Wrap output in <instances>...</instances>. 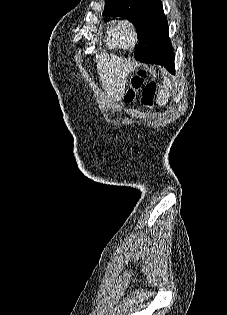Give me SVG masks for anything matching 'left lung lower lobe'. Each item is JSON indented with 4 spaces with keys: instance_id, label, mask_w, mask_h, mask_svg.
Wrapping results in <instances>:
<instances>
[{
    "instance_id": "left-lung-lower-lobe-1",
    "label": "left lung lower lobe",
    "mask_w": 227,
    "mask_h": 315,
    "mask_svg": "<svg viewBox=\"0 0 227 315\" xmlns=\"http://www.w3.org/2000/svg\"><path fill=\"white\" fill-rule=\"evenodd\" d=\"M134 56L140 62L164 65L171 73H175L174 55L162 50L155 38L142 39L136 47Z\"/></svg>"
}]
</instances>
